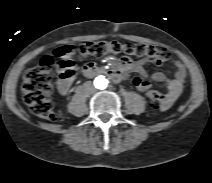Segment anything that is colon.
I'll return each instance as SVG.
<instances>
[{
  "instance_id": "5ec220e1",
  "label": "colon",
  "mask_w": 212,
  "mask_h": 183,
  "mask_svg": "<svg viewBox=\"0 0 212 183\" xmlns=\"http://www.w3.org/2000/svg\"><path fill=\"white\" fill-rule=\"evenodd\" d=\"M57 57L62 58L57 63L58 70L67 78L76 75L74 56L88 57L104 54H123L128 57H137L153 61L157 65H166L172 62L170 51L153 45L120 43L117 41H94L81 45H64L54 50ZM54 60L50 56L43 57L39 63L30 68L23 78L24 101L30 111L46 120H54L55 112L50 95L53 90L52 70ZM146 84L149 85V82ZM151 105L159 109L165 102L166 95L148 88L145 91Z\"/></svg>"
}]
</instances>
